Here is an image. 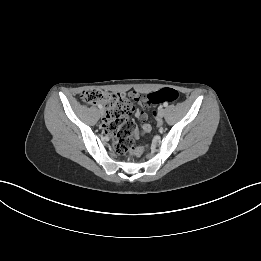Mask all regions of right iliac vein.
Wrapping results in <instances>:
<instances>
[{
    "label": "right iliac vein",
    "instance_id": "1",
    "mask_svg": "<svg viewBox=\"0 0 261 261\" xmlns=\"http://www.w3.org/2000/svg\"><path fill=\"white\" fill-rule=\"evenodd\" d=\"M100 113H101V115H103L104 114V110L100 109Z\"/></svg>",
    "mask_w": 261,
    "mask_h": 261
}]
</instances>
